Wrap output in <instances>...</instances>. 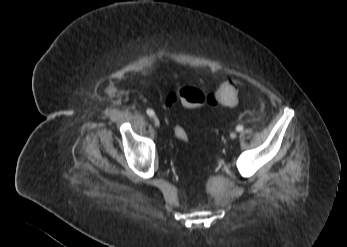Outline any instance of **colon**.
<instances>
[{
    "label": "colon",
    "mask_w": 347,
    "mask_h": 247,
    "mask_svg": "<svg viewBox=\"0 0 347 247\" xmlns=\"http://www.w3.org/2000/svg\"><path fill=\"white\" fill-rule=\"evenodd\" d=\"M236 101V85L232 81H225L212 93H203L196 87L185 86L177 91L169 93L165 100V106L167 108H173L178 104H182L189 108H198L203 105L231 107ZM173 133L179 141L184 143L188 142V133L182 125L175 124Z\"/></svg>",
    "instance_id": "obj_1"
}]
</instances>
